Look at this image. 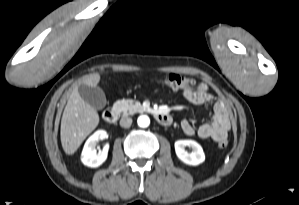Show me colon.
<instances>
[{
  "label": "colon",
  "instance_id": "obj_1",
  "mask_svg": "<svg viewBox=\"0 0 299 205\" xmlns=\"http://www.w3.org/2000/svg\"><path fill=\"white\" fill-rule=\"evenodd\" d=\"M153 81L172 90H185L194 87L196 84L194 79L177 73H171L163 77L156 76L153 78ZM227 145V139H222L218 142L220 148H225Z\"/></svg>",
  "mask_w": 299,
  "mask_h": 205
}]
</instances>
